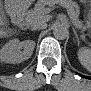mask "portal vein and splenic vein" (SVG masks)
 I'll use <instances>...</instances> for the list:
<instances>
[{
    "mask_svg": "<svg viewBox=\"0 0 91 91\" xmlns=\"http://www.w3.org/2000/svg\"><path fill=\"white\" fill-rule=\"evenodd\" d=\"M77 27L80 28L81 27V24H77Z\"/></svg>",
    "mask_w": 91,
    "mask_h": 91,
    "instance_id": "1",
    "label": "portal vein and splenic vein"
}]
</instances>
